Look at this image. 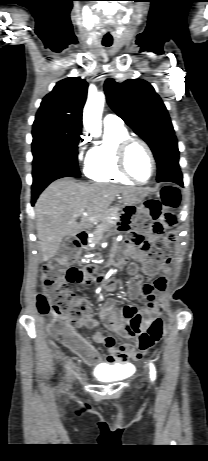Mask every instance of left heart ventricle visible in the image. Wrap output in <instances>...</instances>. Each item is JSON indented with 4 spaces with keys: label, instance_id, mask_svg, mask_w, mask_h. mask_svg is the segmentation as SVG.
<instances>
[{
    "label": "left heart ventricle",
    "instance_id": "1",
    "mask_svg": "<svg viewBox=\"0 0 208 461\" xmlns=\"http://www.w3.org/2000/svg\"><path fill=\"white\" fill-rule=\"evenodd\" d=\"M131 173L140 181H145L151 174V161L146 150L138 144L131 147L127 157Z\"/></svg>",
    "mask_w": 208,
    "mask_h": 461
}]
</instances>
